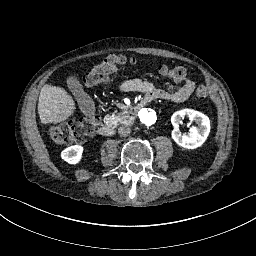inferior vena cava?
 I'll use <instances>...</instances> for the list:
<instances>
[{
    "mask_svg": "<svg viewBox=\"0 0 256 256\" xmlns=\"http://www.w3.org/2000/svg\"><path fill=\"white\" fill-rule=\"evenodd\" d=\"M131 133V129L127 126H120L118 128V134L121 137H127Z\"/></svg>",
    "mask_w": 256,
    "mask_h": 256,
    "instance_id": "1",
    "label": "inferior vena cava"
}]
</instances>
